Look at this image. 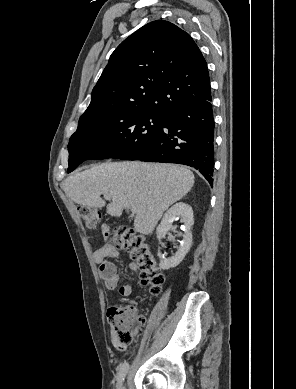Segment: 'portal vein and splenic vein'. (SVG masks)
Instances as JSON below:
<instances>
[{"instance_id": "obj_1", "label": "portal vein and splenic vein", "mask_w": 296, "mask_h": 389, "mask_svg": "<svg viewBox=\"0 0 296 389\" xmlns=\"http://www.w3.org/2000/svg\"><path fill=\"white\" fill-rule=\"evenodd\" d=\"M106 199H110L109 196H105ZM131 212L132 214H135L136 213V209L135 208H131Z\"/></svg>"}]
</instances>
